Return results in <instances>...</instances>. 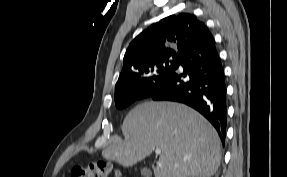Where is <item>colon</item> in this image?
I'll return each instance as SVG.
<instances>
[{
	"label": "colon",
	"mask_w": 287,
	"mask_h": 177,
	"mask_svg": "<svg viewBox=\"0 0 287 177\" xmlns=\"http://www.w3.org/2000/svg\"><path fill=\"white\" fill-rule=\"evenodd\" d=\"M71 177H121V174L111 163L95 161L86 167L74 168Z\"/></svg>",
	"instance_id": "obj_1"
}]
</instances>
